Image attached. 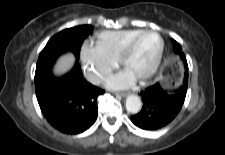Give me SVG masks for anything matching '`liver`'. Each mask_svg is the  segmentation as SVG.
Here are the masks:
<instances>
[{
    "mask_svg": "<svg viewBox=\"0 0 225 155\" xmlns=\"http://www.w3.org/2000/svg\"><path fill=\"white\" fill-rule=\"evenodd\" d=\"M75 58L73 54L67 53L59 58L57 61L54 72L57 75H62L67 72L74 64Z\"/></svg>",
    "mask_w": 225,
    "mask_h": 155,
    "instance_id": "liver-1",
    "label": "liver"
}]
</instances>
